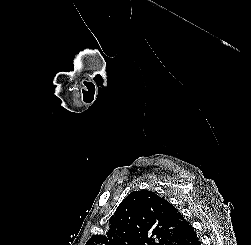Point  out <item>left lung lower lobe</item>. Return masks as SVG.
<instances>
[{"instance_id": "0a47b994", "label": "left lung lower lobe", "mask_w": 251, "mask_h": 245, "mask_svg": "<svg viewBox=\"0 0 251 245\" xmlns=\"http://www.w3.org/2000/svg\"><path fill=\"white\" fill-rule=\"evenodd\" d=\"M168 245H200V240L196 231L188 222L177 231Z\"/></svg>"}]
</instances>
